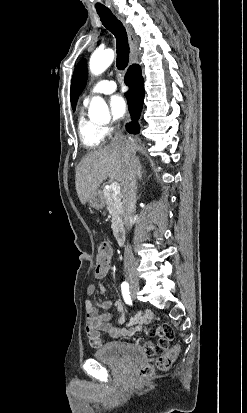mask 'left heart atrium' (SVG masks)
Returning a JSON list of instances; mask_svg holds the SVG:
<instances>
[{"label": "left heart atrium", "mask_w": 247, "mask_h": 413, "mask_svg": "<svg viewBox=\"0 0 247 413\" xmlns=\"http://www.w3.org/2000/svg\"><path fill=\"white\" fill-rule=\"evenodd\" d=\"M109 107L112 115L117 120L123 118L127 111L126 101L120 94H115L110 97Z\"/></svg>", "instance_id": "left-heart-atrium-1"}]
</instances>
